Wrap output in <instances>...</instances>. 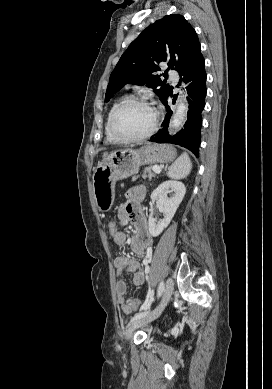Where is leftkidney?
I'll use <instances>...</instances> for the list:
<instances>
[{"mask_svg": "<svg viewBox=\"0 0 272 389\" xmlns=\"http://www.w3.org/2000/svg\"><path fill=\"white\" fill-rule=\"evenodd\" d=\"M168 192H172L170 197L167 196ZM185 193L186 187L180 181H165L152 192L151 199H158V210L163 213L164 216L162 220L156 222L155 218H153V214L149 215V232L153 237L160 235L170 224Z\"/></svg>", "mask_w": 272, "mask_h": 389, "instance_id": "obj_1", "label": "left kidney"}]
</instances>
